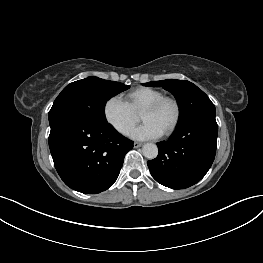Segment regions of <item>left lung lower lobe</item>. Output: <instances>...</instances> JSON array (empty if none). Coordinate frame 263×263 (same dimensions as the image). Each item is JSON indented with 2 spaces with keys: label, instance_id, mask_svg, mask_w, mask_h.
Returning a JSON list of instances; mask_svg holds the SVG:
<instances>
[{
  "label": "left lung lower lobe",
  "instance_id": "0a47b994",
  "mask_svg": "<svg viewBox=\"0 0 263 263\" xmlns=\"http://www.w3.org/2000/svg\"><path fill=\"white\" fill-rule=\"evenodd\" d=\"M218 126L215 116L199 117L179 125L167 142L158 143V156L147 162L153 178L172 189L200 181L216 154Z\"/></svg>",
  "mask_w": 263,
  "mask_h": 263
}]
</instances>
